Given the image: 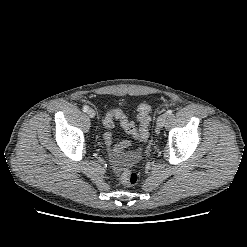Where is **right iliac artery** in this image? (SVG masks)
<instances>
[{
  "instance_id": "obj_1",
  "label": "right iliac artery",
  "mask_w": 247,
  "mask_h": 247,
  "mask_svg": "<svg viewBox=\"0 0 247 247\" xmlns=\"http://www.w3.org/2000/svg\"><path fill=\"white\" fill-rule=\"evenodd\" d=\"M83 111H84V112H87V111H88V107H87V106H84V107H83Z\"/></svg>"
}]
</instances>
